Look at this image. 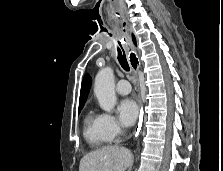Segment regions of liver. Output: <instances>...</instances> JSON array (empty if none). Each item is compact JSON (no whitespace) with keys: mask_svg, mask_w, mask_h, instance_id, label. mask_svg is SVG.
Wrapping results in <instances>:
<instances>
[{"mask_svg":"<svg viewBox=\"0 0 223 171\" xmlns=\"http://www.w3.org/2000/svg\"><path fill=\"white\" fill-rule=\"evenodd\" d=\"M133 161L132 152L119 146H105L85 155L79 171H125Z\"/></svg>","mask_w":223,"mask_h":171,"instance_id":"1","label":"liver"}]
</instances>
